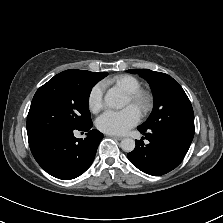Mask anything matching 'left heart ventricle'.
Masks as SVG:
<instances>
[{"mask_svg": "<svg viewBox=\"0 0 223 223\" xmlns=\"http://www.w3.org/2000/svg\"><path fill=\"white\" fill-rule=\"evenodd\" d=\"M128 103H130V101H129L128 97H127V102H126V104H128Z\"/></svg>", "mask_w": 223, "mask_h": 223, "instance_id": "left-heart-ventricle-1", "label": "left heart ventricle"}]
</instances>
